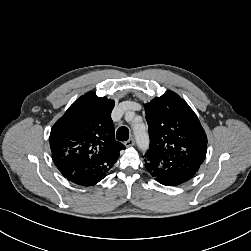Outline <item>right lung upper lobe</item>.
<instances>
[{"label": "right lung upper lobe", "mask_w": 251, "mask_h": 251, "mask_svg": "<svg viewBox=\"0 0 251 251\" xmlns=\"http://www.w3.org/2000/svg\"><path fill=\"white\" fill-rule=\"evenodd\" d=\"M114 101L89 92L77 99L53 125L50 148L62 175L76 184L102 178L125 146L115 140Z\"/></svg>", "instance_id": "right-lung-upper-lobe-1"}]
</instances>
